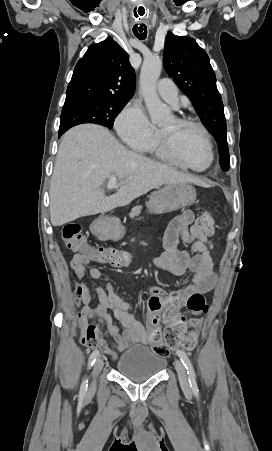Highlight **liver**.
Wrapping results in <instances>:
<instances>
[{"label": "liver", "mask_w": 272, "mask_h": 451, "mask_svg": "<svg viewBox=\"0 0 272 451\" xmlns=\"http://www.w3.org/2000/svg\"><path fill=\"white\" fill-rule=\"evenodd\" d=\"M111 174L122 186L105 196L102 186ZM187 182L202 186L195 176L127 150L107 128L81 124L66 132L59 146L50 184L51 224L63 226L81 216L104 214L163 184Z\"/></svg>", "instance_id": "obj_1"}]
</instances>
